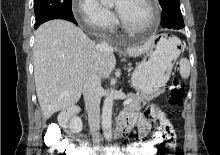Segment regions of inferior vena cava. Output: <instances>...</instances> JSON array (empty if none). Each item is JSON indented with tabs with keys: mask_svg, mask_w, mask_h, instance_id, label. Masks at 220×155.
Instances as JSON below:
<instances>
[{
	"mask_svg": "<svg viewBox=\"0 0 220 155\" xmlns=\"http://www.w3.org/2000/svg\"><path fill=\"white\" fill-rule=\"evenodd\" d=\"M101 45L104 48H109L108 44L105 42ZM83 96L88 113V123L91 133L98 136L100 130V101L102 96V87L101 77L98 73L97 66H93L85 79L83 85Z\"/></svg>",
	"mask_w": 220,
	"mask_h": 155,
	"instance_id": "obj_1",
	"label": "inferior vena cava"
}]
</instances>
